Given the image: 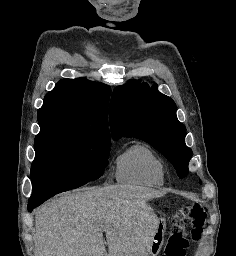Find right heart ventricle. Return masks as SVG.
<instances>
[{
    "label": "right heart ventricle",
    "mask_w": 236,
    "mask_h": 256,
    "mask_svg": "<svg viewBox=\"0 0 236 256\" xmlns=\"http://www.w3.org/2000/svg\"><path fill=\"white\" fill-rule=\"evenodd\" d=\"M116 176L123 184L159 187L166 181V167L149 147L136 143L118 158Z\"/></svg>",
    "instance_id": "right-heart-ventricle-1"
}]
</instances>
